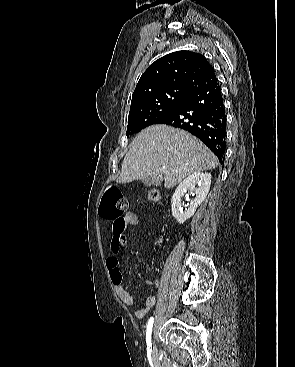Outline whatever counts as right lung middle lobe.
<instances>
[{"instance_id":"dd1d6c3e","label":"right lung middle lobe","mask_w":295,"mask_h":367,"mask_svg":"<svg viewBox=\"0 0 295 367\" xmlns=\"http://www.w3.org/2000/svg\"><path fill=\"white\" fill-rule=\"evenodd\" d=\"M190 95L183 90H168L131 103L126 135L158 123L176 110Z\"/></svg>"}]
</instances>
